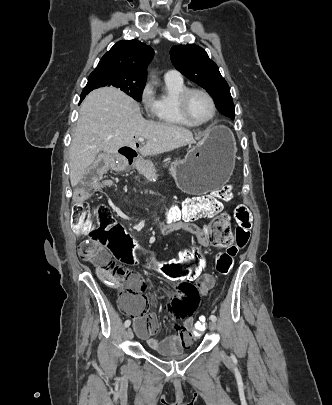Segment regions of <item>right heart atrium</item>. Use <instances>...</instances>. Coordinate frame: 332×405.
<instances>
[{
  "mask_svg": "<svg viewBox=\"0 0 332 405\" xmlns=\"http://www.w3.org/2000/svg\"><path fill=\"white\" fill-rule=\"evenodd\" d=\"M140 102L148 113H152L154 109V96L150 85H145L140 93Z\"/></svg>",
  "mask_w": 332,
  "mask_h": 405,
  "instance_id": "right-heart-atrium-1",
  "label": "right heart atrium"
}]
</instances>
